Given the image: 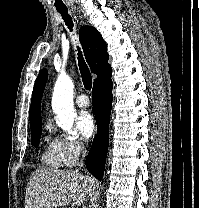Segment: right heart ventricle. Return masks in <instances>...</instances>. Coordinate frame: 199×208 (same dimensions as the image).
I'll return each mask as SVG.
<instances>
[{
  "mask_svg": "<svg viewBox=\"0 0 199 208\" xmlns=\"http://www.w3.org/2000/svg\"><path fill=\"white\" fill-rule=\"evenodd\" d=\"M46 146L41 155L42 162L50 168L62 167L63 160L57 149V141H53L49 136L45 138Z\"/></svg>",
  "mask_w": 199,
  "mask_h": 208,
  "instance_id": "e07e8e85",
  "label": "right heart ventricle"
}]
</instances>
